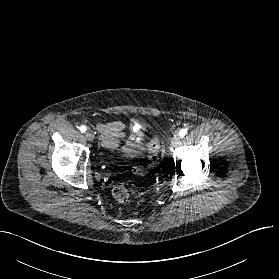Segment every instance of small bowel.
I'll list each match as a JSON object with an SVG mask.
<instances>
[{"mask_svg":"<svg viewBox=\"0 0 279 279\" xmlns=\"http://www.w3.org/2000/svg\"><path fill=\"white\" fill-rule=\"evenodd\" d=\"M96 129L103 147L111 152L122 146L121 140L127 135V125L121 121L98 123Z\"/></svg>","mask_w":279,"mask_h":279,"instance_id":"1","label":"small bowel"}]
</instances>
